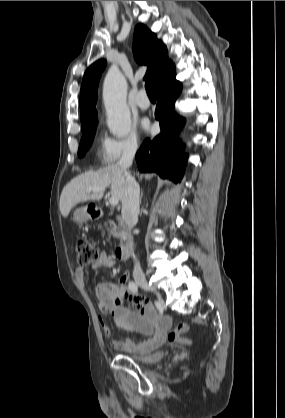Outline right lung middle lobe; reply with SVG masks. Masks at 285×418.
<instances>
[{
  "label": "right lung middle lobe",
  "instance_id": "1",
  "mask_svg": "<svg viewBox=\"0 0 285 418\" xmlns=\"http://www.w3.org/2000/svg\"><path fill=\"white\" fill-rule=\"evenodd\" d=\"M98 121L82 127V138L78 149V156L82 157L91 146Z\"/></svg>",
  "mask_w": 285,
  "mask_h": 418
}]
</instances>
